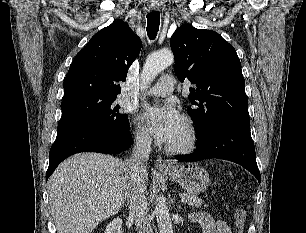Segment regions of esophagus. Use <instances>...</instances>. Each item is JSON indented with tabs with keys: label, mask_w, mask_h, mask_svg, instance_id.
I'll return each mask as SVG.
<instances>
[{
	"label": "esophagus",
	"mask_w": 306,
	"mask_h": 233,
	"mask_svg": "<svg viewBox=\"0 0 306 233\" xmlns=\"http://www.w3.org/2000/svg\"><path fill=\"white\" fill-rule=\"evenodd\" d=\"M158 8H159L158 4H155V3L149 4V9L151 11H156V10H158ZM155 166L157 168H169L170 164L168 162H166L161 156H158L155 160Z\"/></svg>",
	"instance_id": "obj_1"
}]
</instances>
